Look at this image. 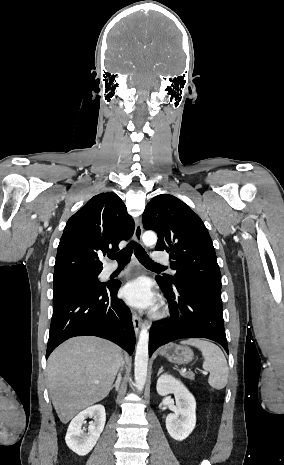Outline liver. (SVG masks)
<instances>
[{
    "label": "liver",
    "instance_id": "1",
    "mask_svg": "<svg viewBox=\"0 0 284 465\" xmlns=\"http://www.w3.org/2000/svg\"><path fill=\"white\" fill-rule=\"evenodd\" d=\"M121 349L96 337L69 339L48 359L53 407L61 423L107 397L121 365Z\"/></svg>",
    "mask_w": 284,
    "mask_h": 465
}]
</instances>
